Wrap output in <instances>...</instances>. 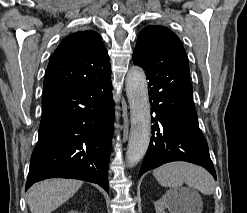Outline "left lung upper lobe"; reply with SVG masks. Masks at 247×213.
Here are the masks:
<instances>
[{
    "label": "left lung upper lobe",
    "mask_w": 247,
    "mask_h": 213,
    "mask_svg": "<svg viewBox=\"0 0 247 213\" xmlns=\"http://www.w3.org/2000/svg\"><path fill=\"white\" fill-rule=\"evenodd\" d=\"M133 61L144 70L148 66H183L189 69L188 58L179 38L168 28L157 25H149L139 33Z\"/></svg>",
    "instance_id": "left-lung-upper-lobe-1"
}]
</instances>
